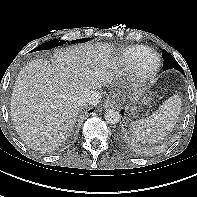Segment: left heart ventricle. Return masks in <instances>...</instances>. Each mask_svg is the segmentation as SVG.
<instances>
[{
	"label": "left heart ventricle",
	"mask_w": 197,
	"mask_h": 197,
	"mask_svg": "<svg viewBox=\"0 0 197 197\" xmlns=\"http://www.w3.org/2000/svg\"><path fill=\"white\" fill-rule=\"evenodd\" d=\"M156 64V58L155 57H150L147 59L143 65V68L146 70L152 69Z\"/></svg>",
	"instance_id": "1"
}]
</instances>
